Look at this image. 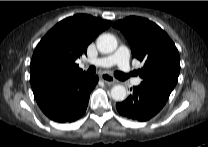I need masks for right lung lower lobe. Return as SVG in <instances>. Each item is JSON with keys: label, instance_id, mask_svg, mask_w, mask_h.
I'll list each match as a JSON object with an SVG mask.
<instances>
[{"label": "right lung lower lobe", "instance_id": "1", "mask_svg": "<svg viewBox=\"0 0 208 147\" xmlns=\"http://www.w3.org/2000/svg\"><path fill=\"white\" fill-rule=\"evenodd\" d=\"M98 82V76H80L73 82L35 96L50 119L64 123L79 119L86 111L90 93Z\"/></svg>", "mask_w": 208, "mask_h": 147}]
</instances>
